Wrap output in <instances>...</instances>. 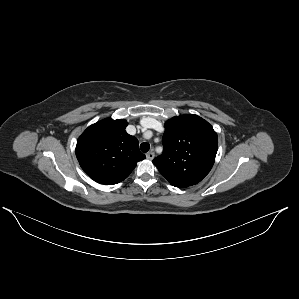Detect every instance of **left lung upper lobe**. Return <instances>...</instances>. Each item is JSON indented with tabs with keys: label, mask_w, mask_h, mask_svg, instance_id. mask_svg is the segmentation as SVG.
<instances>
[{
	"label": "left lung upper lobe",
	"mask_w": 299,
	"mask_h": 299,
	"mask_svg": "<svg viewBox=\"0 0 299 299\" xmlns=\"http://www.w3.org/2000/svg\"><path fill=\"white\" fill-rule=\"evenodd\" d=\"M162 142L163 153L153 160V164L173 186L197 184L214 164L217 134L197 115L185 114L168 120Z\"/></svg>",
	"instance_id": "5c2ea615"
}]
</instances>
